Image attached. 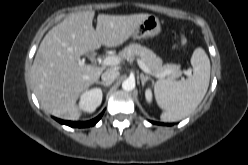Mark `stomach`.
Returning <instances> with one entry per match:
<instances>
[{"label":"stomach","mask_w":248,"mask_h":165,"mask_svg":"<svg viewBox=\"0 0 248 165\" xmlns=\"http://www.w3.org/2000/svg\"><path fill=\"white\" fill-rule=\"evenodd\" d=\"M161 31L159 19L155 15H148L133 33L134 39L154 37Z\"/></svg>","instance_id":"stomach-1"}]
</instances>
